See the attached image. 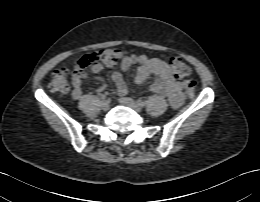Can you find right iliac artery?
<instances>
[{
    "label": "right iliac artery",
    "instance_id": "82829eb1",
    "mask_svg": "<svg viewBox=\"0 0 260 202\" xmlns=\"http://www.w3.org/2000/svg\"><path fill=\"white\" fill-rule=\"evenodd\" d=\"M101 99H102V100H105V99H106V96H105V95H102Z\"/></svg>",
    "mask_w": 260,
    "mask_h": 202
}]
</instances>
